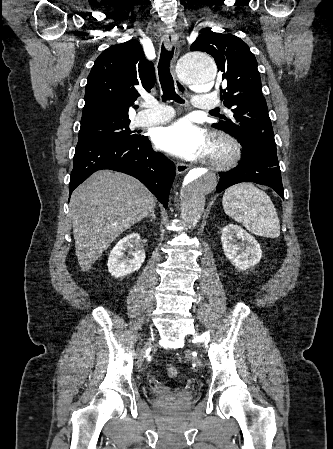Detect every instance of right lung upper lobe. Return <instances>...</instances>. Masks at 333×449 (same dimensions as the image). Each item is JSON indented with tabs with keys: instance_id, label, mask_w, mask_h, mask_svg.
<instances>
[{
	"instance_id": "cb5924a9",
	"label": "right lung upper lobe",
	"mask_w": 333,
	"mask_h": 449,
	"mask_svg": "<svg viewBox=\"0 0 333 449\" xmlns=\"http://www.w3.org/2000/svg\"><path fill=\"white\" fill-rule=\"evenodd\" d=\"M155 72L136 40L112 45L96 59L85 89L81 127L104 122L125 121L129 107L154 86Z\"/></svg>"
}]
</instances>
